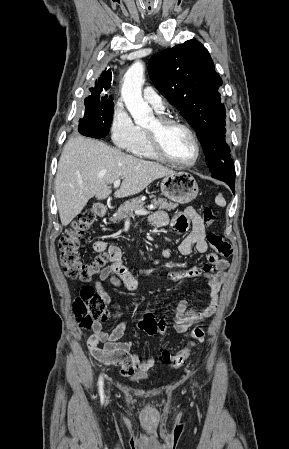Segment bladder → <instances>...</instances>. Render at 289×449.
I'll return each mask as SVG.
<instances>
[{
  "instance_id": "obj_1",
  "label": "bladder",
  "mask_w": 289,
  "mask_h": 449,
  "mask_svg": "<svg viewBox=\"0 0 289 449\" xmlns=\"http://www.w3.org/2000/svg\"><path fill=\"white\" fill-rule=\"evenodd\" d=\"M144 379H145V376H144V375H139V376H137V377L135 378L136 381H142V380H144Z\"/></svg>"
}]
</instances>
